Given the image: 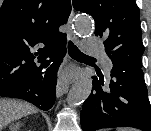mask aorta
<instances>
[{
  "instance_id": "1",
  "label": "aorta",
  "mask_w": 151,
  "mask_h": 131,
  "mask_svg": "<svg viewBox=\"0 0 151 131\" xmlns=\"http://www.w3.org/2000/svg\"><path fill=\"white\" fill-rule=\"evenodd\" d=\"M74 28L79 35H88L93 31L94 27L89 16L80 15L74 22ZM91 90L92 81L89 79H82L75 83L67 96L68 106L74 108L83 103L89 97Z\"/></svg>"
}]
</instances>
